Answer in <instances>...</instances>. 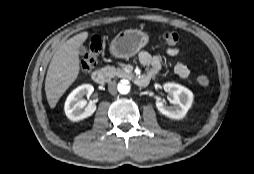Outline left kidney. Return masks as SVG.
Listing matches in <instances>:
<instances>
[{
  "instance_id": "1",
  "label": "left kidney",
  "mask_w": 254,
  "mask_h": 174,
  "mask_svg": "<svg viewBox=\"0 0 254 174\" xmlns=\"http://www.w3.org/2000/svg\"><path fill=\"white\" fill-rule=\"evenodd\" d=\"M163 87L168 92L169 100L173 106H167L157 100L158 111L171 119H182L192 105L193 93L188 88L176 83H166Z\"/></svg>"
}]
</instances>
